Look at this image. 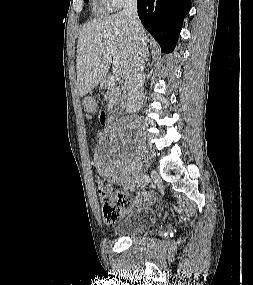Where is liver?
<instances>
[{
  "label": "liver",
  "instance_id": "1",
  "mask_svg": "<svg viewBox=\"0 0 253 285\" xmlns=\"http://www.w3.org/2000/svg\"><path fill=\"white\" fill-rule=\"evenodd\" d=\"M147 40V33L144 30ZM133 38L123 12L86 23L77 42V87L80 96L92 91L107 75L112 52L117 54L124 73Z\"/></svg>",
  "mask_w": 253,
  "mask_h": 285
}]
</instances>
